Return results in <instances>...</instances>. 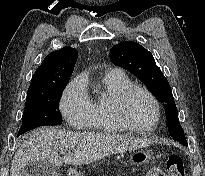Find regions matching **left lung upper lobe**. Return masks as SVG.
Listing matches in <instances>:
<instances>
[{
	"instance_id": "left-lung-upper-lobe-1",
	"label": "left lung upper lobe",
	"mask_w": 205,
	"mask_h": 176,
	"mask_svg": "<svg viewBox=\"0 0 205 176\" xmlns=\"http://www.w3.org/2000/svg\"><path fill=\"white\" fill-rule=\"evenodd\" d=\"M111 61L137 76L157 99L165 104L169 134L187 146L184 131L179 123L171 87L156 65L153 55L136 42H121L110 50Z\"/></svg>"
}]
</instances>
